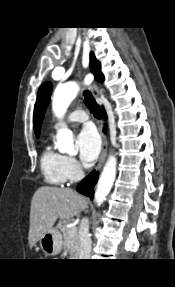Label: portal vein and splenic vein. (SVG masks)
Segmentation results:
<instances>
[{
    "mask_svg": "<svg viewBox=\"0 0 175 287\" xmlns=\"http://www.w3.org/2000/svg\"><path fill=\"white\" fill-rule=\"evenodd\" d=\"M76 232H77L76 226L70 227L69 234H73V233H76Z\"/></svg>",
    "mask_w": 175,
    "mask_h": 287,
    "instance_id": "portal-vein-and-splenic-vein-1",
    "label": "portal vein and splenic vein"
}]
</instances>
